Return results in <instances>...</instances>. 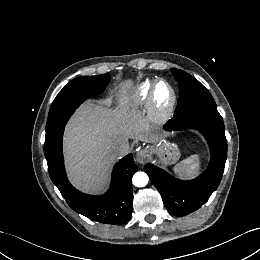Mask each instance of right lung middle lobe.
Listing matches in <instances>:
<instances>
[{
    "label": "right lung middle lobe",
    "mask_w": 260,
    "mask_h": 260,
    "mask_svg": "<svg viewBox=\"0 0 260 260\" xmlns=\"http://www.w3.org/2000/svg\"><path fill=\"white\" fill-rule=\"evenodd\" d=\"M109 81V74L83 76L70 81L59 92L51 105L45 140H51L65 126L80 103L92 95L103 92Z\"/></svg>",
    "instance_id": "obj_1"
}]
</instances>
